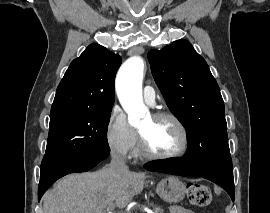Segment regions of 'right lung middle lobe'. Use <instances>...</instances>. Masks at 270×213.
<instances>
[{
	"label": "right lung middle lobe",
	"instance_id": "right-lung-middle-lobe-1",
	"mask_svg": "<svg viewBox=\"0 0 270 213\" xmlns=\"http://www.w3.org/2000/svg\"><path fill=\"white\" fill-rule=\"evenodd\" d=\"M110 115L111 110L51 111L47 147L42 163L110 152L107 141Z\"/></svg>",
	"mask_w": 270,
	"mask_h": 213
}]
</instances>
